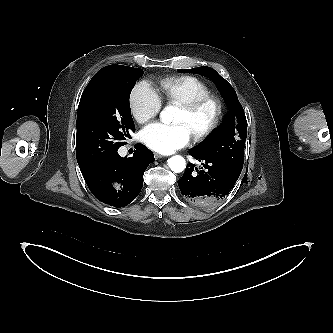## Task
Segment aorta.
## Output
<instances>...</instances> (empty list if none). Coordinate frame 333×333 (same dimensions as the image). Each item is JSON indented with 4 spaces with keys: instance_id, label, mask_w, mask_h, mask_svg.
Segmentation results:
<instances>
[{
    "instance_id": "aorta-1",
    "label": "aorta",
    "mask_w": 333,
    "mask_h": 333,
    "mask_svg": "<svg viewBox=\"0 0 333 333\" xmlns=\"http://www.w3.org/2000/svg\"><path fill=\"white\" fill-rule=\"evenodd\" d=\"M177 109L173 106H167L160 113V119L165 124H170L173 121ZM168 166L175 173L182 172L186 167L185 159L180 155L172 156L168 159Z\"/></svg>"
}]
</instances>
